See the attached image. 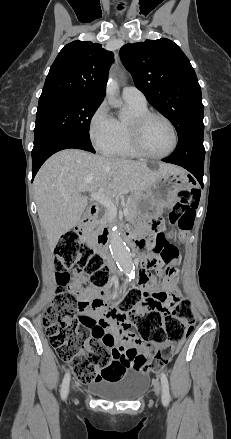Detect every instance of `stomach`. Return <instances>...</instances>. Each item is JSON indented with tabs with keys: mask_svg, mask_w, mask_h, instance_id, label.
I'll return each mask as SVG.
<instances>
[{
	"mask_svg": "<svg viewBox=\"0 0 231 439\" xmlns=\"http://www.w3.org/2000/svg\"><path fill=\"white\" fill-rule=\"evenodd\" d=\"M192 181V178L184 171L162 176L149 189L140 194V212L156 216L164 209L173 207L179 199L178 193L190 189Z\"/></svg>",
	"mask_w": 231,
	"mask_h": 439,
	"instance_id": "obj_1",
	"label": "stomach"
}]
</instances>
